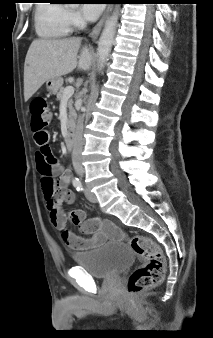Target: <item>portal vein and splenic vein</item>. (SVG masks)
Returning a JSON list of instances; mask_svg holds the SVG:
<instances>
[{"instance_id": "obj_1", "label": "portal vein and splenic vein", "mask_w": 213, "mask_h": 338, "mask_svg": "<svg viewBox=\"0 0 213 338\" xmlns=\"http://www.w3.org/2000/svg\"><path fill=\"white\" fill-rule=\"evenodd\" d=\"M74 94V88L72 86H68L65 88L62 99H69Z\"/></svg>"}]
</instances>
